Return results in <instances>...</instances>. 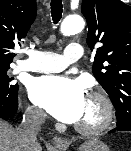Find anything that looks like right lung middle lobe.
<instances>
[{
    "mask_svg": "<svg viewBox=\"0 0 131 151\" xmlns=\"http://www.w3.org/2000/svg\"><path fill=\"white\" fill-rule=\"evenodd\" d=\"M10 65H0V93L12 95L18 90V84L13 82L14 78L7 75Z\"/></svg>",
    "mask_w": 131,
    "mask_h": 151,
    "instance_id": "dd1d6c3e",
    "label": "right lung middle lobe"
}]
</instances>
